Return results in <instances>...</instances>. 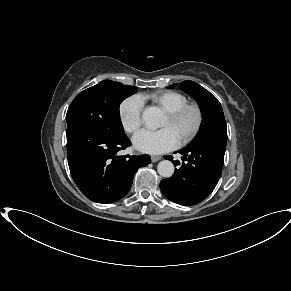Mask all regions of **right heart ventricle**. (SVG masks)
I'll return each mask as SVG.
<instances>
[{"label": "right heart ventricle", "instance_id": "e07e8e85", "mask_svg": "<svg viewBox=\"0 0 291 291\" xmlns=\"http://www.w3.org/2000/svg\"><path fill=\"white\" fill-rule=\"evenodd\" d=\"M139 97L142 101H150L164 112L174 110L188 102V98L183 93L174 90H159L141 94Z\"/></svg>", "mask_w": 291, "mask_h": 291}]
</instances>
